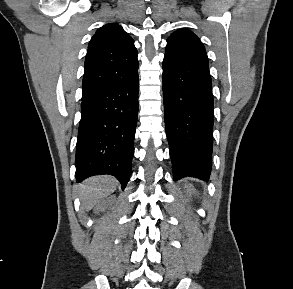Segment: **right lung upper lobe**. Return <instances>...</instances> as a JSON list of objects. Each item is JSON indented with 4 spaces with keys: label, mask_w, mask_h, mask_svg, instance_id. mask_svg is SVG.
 Here are the masks:
<instances>
[{
    "label": "right lung upper lobe",
    "mask_w": 293,
    "mask_h": 289,
    "mask_svg": "<svg viewBox=\"0 0 293 289\" xmlns=\"http://www.w3.org/2000/svg\"><path fill=\"white\" fill-rule=\"evenodd\" d=\"M134 40L116 24L98 29L88 45L82 82V99L138 76Z\"/></svg>",
    "instance_id": "1"
}]
</instances>
